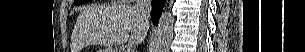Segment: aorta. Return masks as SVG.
I'll list each match as a JSON object with an SVG mask.
<instances>
[{"label":"aorta","instance_id":"762f6f07","mask_svg":"<svg viewBox=\"0 0 305 52\" xmlns=\"http://www.w3.org/2000/svg\"><path fill=\"white\" fill-rule=\"evenodd\" d=\"M174 18L170 12H163L156 28L152 52H168L173 39Z\"/></svg>","mask_w":305,"mask_h":52}]
</instances>
